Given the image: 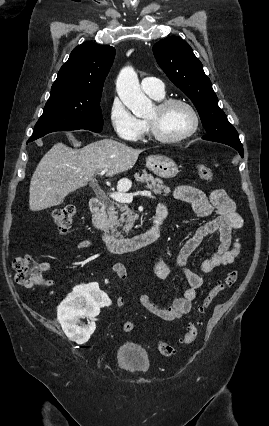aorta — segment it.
<instances>
[{"mask_svg": "<svg viewBox=\"0 0 269 426\" xmlns=\"http://www.w3.org/2000/svg\"><path fill=\"white\" fill-rule=\"evenodd\" d=\"M116 88L122 102L136 117H143L152 110V101L142 92L138 76L132 67L121 70Z\"/></svg>", "mask_w": 269, "mask_h": 426, "instance_id": "1", "label": "aorta"}]
</instances>
